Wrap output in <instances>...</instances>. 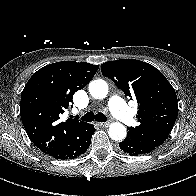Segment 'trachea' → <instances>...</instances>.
I'll return each instance as SVG.
<instances>
[{"mask_svg":"<svg viewBox=\"0 0 196 196\" xmlns=\"http://www.w3.org/2000/svg\"><path fill=\"white\" fill-rule=\"evenodd\" d=\"M81 120L85 122H92V121H98V122H105L107 120L106 116L103 113H97L94 114L92 111L86 113Z\"/></svg>","mask_w":196,"mask_h":196,"instance_id":"3493384b","label":"trachea"}]
</instances>
